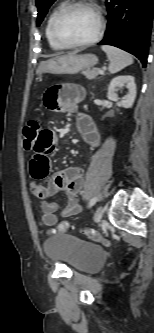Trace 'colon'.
Wrapping results in <instances>:
<instances>
[{"mask_svg": "<svg viewBox=\"0 0 154 333\" xmlns=\"http://www.w3.org/2000/svg\"><path fill=\"white\" fill-rule=\"evenodd\" d=\"M40 129H41V122L39 118H33L29 120L28 123L25 125L23 129V143L26 150L33 149L36 136L40 131ZM68 226L69 224L67 222H62L61 224H59L57 229L53 231V233H55L56 231L62 232ZM88 233L93 239L100 241L104 244H108V241L104 239L98 232L88 231Z\"/></svg>", "mask_w": 154, "mask_h": 333, "instance_id": "obj_1", "label": "colon"}]
</instances>
